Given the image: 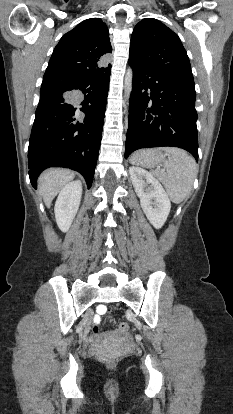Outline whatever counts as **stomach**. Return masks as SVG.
<instances>
[{
  "label": "stomach",
  "instance_id": "stomach-1",
  "mask_svg": "<svg viewBox=\"0 0 233 414\" xmlns=\"http://www.w3.org/2000/svg\"><path fill=\"white\" fill-rule=\"evenodd\" d=\"M166 156L162 149L142 150L137 154L139 161L149 168L162 165L166 161Z\"/></svg>",
  "mask_w": 233,
  "mask_h": 414
}]
</instances>
